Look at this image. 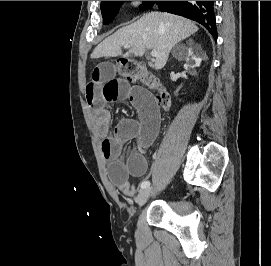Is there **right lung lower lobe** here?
<instances>
[{
  "instance_id": "right-lung-lower-lobe-1",
  "label": "right lung lower lobe",
  "mask_w": 271,
  "mask_h": 266,
  "mask_svg": "<svg viewBox=\"0 0 271 266\" xmlns=\"http://www.w3.org/2000/svg\"><path fill=\"white\" fill-rule=\"evenodd\" d=\"M154 4L161 10L199 22L206 27L217 40L214 1H156Z\"/></svg>"
}]
</instances>
